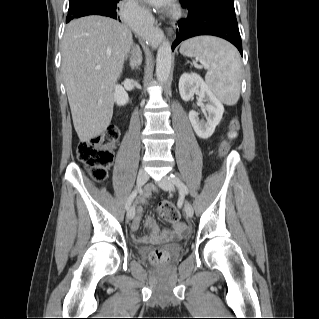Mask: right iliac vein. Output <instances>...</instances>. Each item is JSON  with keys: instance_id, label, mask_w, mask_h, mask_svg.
I'll list each match as a JSON object with an SVG mask.
<instances>
[{"instance_id": "obj_1", "label": "right iliac vein", "mask_w": 319, "mask_h": 319, "mask_svg": "<svg viewBox=\"0 0 319 319\" xmlns=\"http://www.w3.org/2000/svg\"><path fill=\"white\" fill-rule=\"evenodd\" d=\"M148 180V174L144 170H140L137 175V185L139 187L143 186ZM135 215V208L131 206L127 212L128 219H133Z\"/></svg>"}]
</instances>
